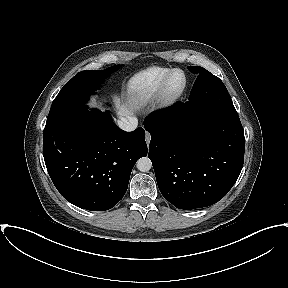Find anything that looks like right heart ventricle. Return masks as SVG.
Returning a JSON list of instances; mask_svg holds the SVG:
<instances>
[{
  "label": "right heart ventricle",
  "instance_id": "e07e8e85",
  "mask_svg": "<svg viewBox=\"0 0 288 288\" xmlns=\"http://www.w3.org/2000/svg\"><path fill=\"white\" fill-rule=\"evenodd\" d=\"M170 72L169 68L152 67L133 76L128 84L131 99L138 105L149 102Z\"/></svg>",
  "mask_w": 288,
  "mask_h": 288
}]
</instances>
